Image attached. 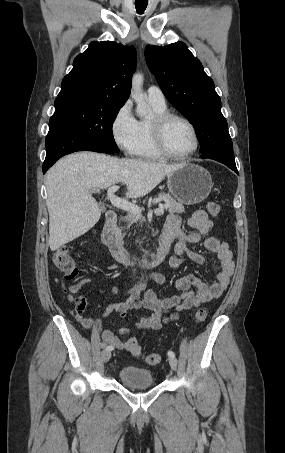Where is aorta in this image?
I'll return each mask as SVG.
<instances>
[{
  "label": "aorta",
  "mask_w": 285,
  "mask_h": 453,
  "mask_svg": "<svg viewBox=\"0 0 285 453\" xmlns=\"http://www.w3.org/2000/svg\"><path fill=\"white\" fill-rule=\"evenodd\" d=\"M143 81L144 77L142 74L137 73L133 75L131 97L137 105L136 112L139 116H145L149 111L145 95L142 90Z\"/></svg>",
  "instance_id": "762f6f07"
}]
</instances>
